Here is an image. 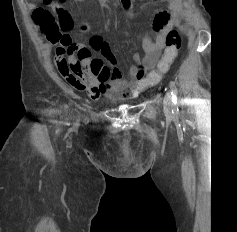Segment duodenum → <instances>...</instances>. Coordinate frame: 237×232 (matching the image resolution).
Returning <instances> with one entry per match:
<instances>
[{"label":"duodenum","mask_w":237,"mask_h":232,"mask_svg":"<svg viewBox=\"0 0 237 232\" xmlns=\"http://www.w3.org/2000/svg\"><path fill=\"white\" fill-rule=\"evenodd\" d=\"M121 2L124 6H129L130 4V0H121Z\"/></svg>","instance_id":"obj_1"}]
</instances>
